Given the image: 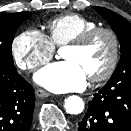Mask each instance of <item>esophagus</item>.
<instances>
[{
  "mask_svg": "<svg viewBox=\"0 0 131 131\" xmlns=\"http://www.w3.org/2000/svg\"><path fill=\"white\" fill-rule=\"evenodd\" d=\"M36 95L38 97L45 98V97L50 96L51 94L43 89H38V90H36Z\"/></svg>",
  "mask_w": 131,
  "mask_h": 131,
  "instance_id": "obj_1",
  "label": "esophagus"
}]
</instances>
